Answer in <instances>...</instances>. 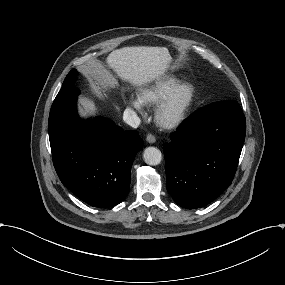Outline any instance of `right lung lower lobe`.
<instances>
[{"instance_id": "obj_1", "label": "right lung lower lobe", "mask_w": 285, "mask_h": 285, "mask_svg": "<svg viewBox=\"0 0 285 285\" xmlns=\"http://www.w3.org/2000/svg\"><path fill=\"white\" fill-rule=\"evenodd\" d=\"M80 90H60L49 114L53 164L63 185L91 206L119 204L130 188L131 166L143 148L136 131H124L111 120L82 121L76 100Z\"/></svg>"}]
</instances>
